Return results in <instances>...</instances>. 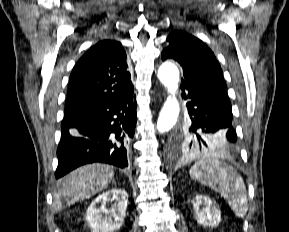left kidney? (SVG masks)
<instances>
[{"label": "left kidney", "mask_w": 289, "mask_h": 232, "mask_svg": "<svg viewBox=\"0 0 289 232\" xmlns=\"http://www.w3.org/2000/svg\"><path fill=\"white\" fill-rule=\"evenodd\" d=\"M193 211L195 219L201 225L216 227L221 221V211L216 202L206 195H196Z\"/></svg>", "instance_id": "1"}]
</instances>
